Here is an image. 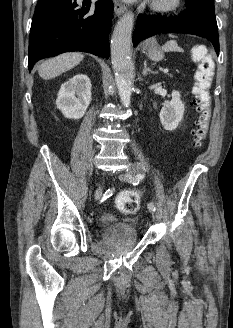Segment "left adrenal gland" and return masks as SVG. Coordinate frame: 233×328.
Segmentation results:
<instances>
[{
	"instance_id": "obj_1",
	"label": "left adrenal gland",
	"mask_w": 233,
	"mask_h": 328,
	"mask_svg": "<svg viewBox=\"0 0 233 328\" xmlns=\"http://www.w3.org/2000/svg\"><path fill=\"white\" fill-rule=\"evenodd\" d=\"M142 74L144 76L148 75V74H157V71H153L151 70L150 68L147 67V62L144 61V68H143V71H142Z\"/></svg>"
}]
</instances>
